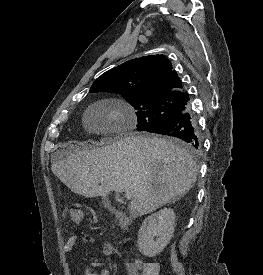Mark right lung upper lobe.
I'll use <instances>...</instances> for the list:
<instances>
[{"label":"right lung upper lobe","instance_id":"obj_1","mask_svg":"<svg viewBox=\"0 0 263 275\" xmlns=\"http://www.w3.org/2000/svg\"><path fill=\"white\" fill-rule=\"evenodd\" d=\"M170 60L164 55H151L129 60L102 74L94 89H120L134 95H187Z\"/></svg>","mask_w":263,"mask_h":275}]
</instances>
